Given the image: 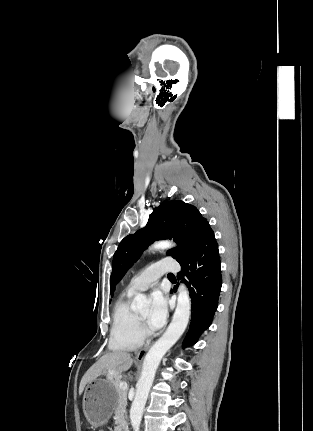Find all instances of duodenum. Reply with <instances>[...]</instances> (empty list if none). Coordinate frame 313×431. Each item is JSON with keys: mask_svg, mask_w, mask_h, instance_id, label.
<instances>
[{"mask_svg": "<svg viewBox=\"0 0 313 431\" xmlns=\"http://www.w3.org/2000/svg\"><path fill=\"white\" fill-rule=\"evenodd\" d=\"M117 431H128V427L125 423H121L119 424Z\"/></svg>", "mask_w": 313, "mask_h": 431, "instance_id": "obj_1", "label": "duodenum"}]
</instances>
